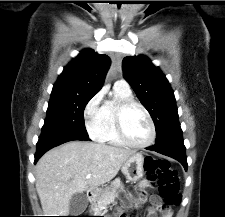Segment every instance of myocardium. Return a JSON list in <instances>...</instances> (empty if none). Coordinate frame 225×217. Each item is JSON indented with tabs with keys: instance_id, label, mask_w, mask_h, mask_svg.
Wrapping results in <instances>:
<instances>
[{
	"instance_id": "obj_1",
	"label": "myocardium",
	"mask_w": 225,
	"mask_h": 217,
	"mask_svg": "<svg viewBox=\"0 0 225 217\" xmlns=\"http://www.w3.org/2000/svg\"><path fill=\"white\" fill-rule=\"evenodd\" d=\"M133 107H138L143 111V113L145 114V116L149 122V125H150V133H151L150 138L146 143H143V144H136V143L131 142L129 140V138L127 137L125 129H124L125 114L129 109H131ZM115 121H116L117 134L119 136V139L121 140V142L124 145L134 148V149H145L154 143L155 138H156L155 124L153 122V119H152L149 111L140 102H138L132 98L119 101L115 108Z\"/></svg>"
}]
</instances>
